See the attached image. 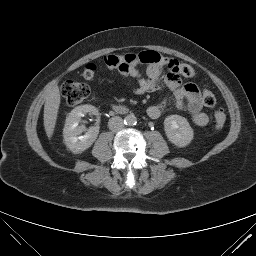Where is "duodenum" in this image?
<instances>
[{"label":"duodenum","mask_w":256,"mask_h":256,"mask_svg":"<svg viewBox=\"0 0 256 256\" xmlns=\"http://www.w3.org/2000/svg\"><path fill=\"white\" fill-rule=\"evenodd\" d=\"M114 109H115L116 111H119V112L125 111V108L122 107V106H115Z\"/></svg>","instance_id":"obj_1"}]
</instances>
